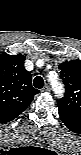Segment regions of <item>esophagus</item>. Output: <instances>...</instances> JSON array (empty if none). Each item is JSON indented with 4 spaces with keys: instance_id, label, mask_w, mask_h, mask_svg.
<instances>
[{
    "instance_id": "esophagus-1",
    "label": "esophagus",
    "mask_w": 81,
    "mask_h": 155,
    "mask_svg": "<svg viewBox=\"0 0 81 155\" xmlns=\"http://www.w3.org/2000/svg\"><path fill=\"white\" fill-rule=\"evenodd\" d=\"M47 91H50V88L48 85H45L43 88H42V92H47Z\"/></svg>"
}]
</instances>
